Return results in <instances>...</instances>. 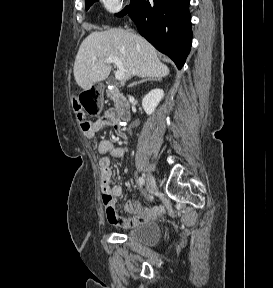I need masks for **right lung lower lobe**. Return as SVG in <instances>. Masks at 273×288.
<instances>
[{
	"mask_svg": "<svg viewBox=\"0 0 273 288\" xmlns=\"http://www.w3.org/2000/svg\"><path fill=\"white\" fill-rule=\"evenodd\" d=\"M189 0H135L128 12L139 33L181 69L191 48Z\"/></svg>",
	"mask_w": 273,
	"mask_h": 288,
	"instance_id": "right-lung-lower-lobe-1",
	"label": "right lung lower lobe"
}]
</instances>
